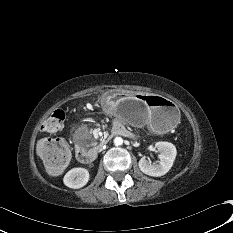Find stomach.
Here are the masks:
<instances>
[{"label":"stomach","mask_w":233,"mask_h":233,"mask_svg":"<svg viewBox=\"0 0 233 233\" xmlns=\"http://www.w3.org/2000/svg\"><path fill=\"white\" fill-rule=\"evenodd\" d=\"M104 107L123 122L136 127L148 126L160 134L168 132L180 119L177 105L155 94L111 95L105 98Z\"/></svg>","instance_id":"stomach-1"}]
</instances>
